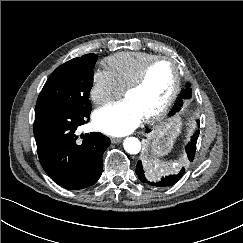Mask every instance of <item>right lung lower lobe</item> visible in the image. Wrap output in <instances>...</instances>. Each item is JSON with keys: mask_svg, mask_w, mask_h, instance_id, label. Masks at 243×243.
<instances>
[{"mask_svg": "<svg viewBox=\"0 0 243 243\" xmlns=\"http://www.w3.org/2000/svg\"><path fill=\"white\" fill-rule=\"evenodd\" d=\"M91 110L73 112L37 106L34 135L39 161L47 175L67 189L93 185L103 170L102 156L110 139L100 133L77 135V128L89 122Z\"/></svg>", "mask_w": 243, "mask_h": 243, "instance_id": "right-lung-lower-lobe-1", "label": "right lung lower lobe"}]
</instances>
